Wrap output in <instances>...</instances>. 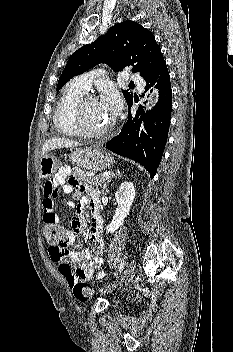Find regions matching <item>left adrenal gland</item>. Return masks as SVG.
Returning <instances> with one entry per match:
<instances>
[{"label": "left adrenal gland", "mask_w": 233, "mask_h": 352, "mask_svg": "<svg viewBox=\"0 0 233 352\" xmlns=\"http://www.w3.org/2000/svg\"><path fill=\"white\" fill-rule=\"evenodd\" d=\"M116 174H117V176H121V173H120L119 170L116 171ZM117 176H116V177H117ZM110 181H111V179H108L106 183H109ZM106 183H105V185H106ZM105 185H104V186H105Z\"/></svg>", "instance_id": "left-adrenal-gland-1"}]
</instances>
